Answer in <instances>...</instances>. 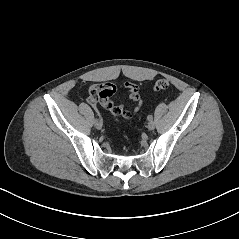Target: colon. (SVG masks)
<instances>
[{"label":"colon","instance_id":"5ec220e1","mask_svg":"<svg viewBox=\"0 0 239 239\" xmlns=\"http://www.w3.org/2000/svg\"><path fill=\"white\" fill-rule=\"evenodd\" d=\"M170 83L167 79H159L157 80L153 85V91L154 92H160L167 88H169Z\"/></svg>","mask_w":239,"mask_h":239}]
</instances>
